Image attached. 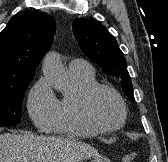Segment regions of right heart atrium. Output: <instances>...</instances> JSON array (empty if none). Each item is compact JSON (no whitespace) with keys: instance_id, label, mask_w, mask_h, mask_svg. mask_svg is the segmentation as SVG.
I'll list each match as a JSON object with an SVG mask.
<instances>
[{"instance_id":"right-heart-atrium-1","label":"right heart atrium","mask_w":168,"mask_h":162,"mask_svg":"<svg viewBox=\"0 0 168 162\" xmlns=\"http://www.w3.org/2000/svg\"><path fill=\"white\" fill-rule=\"evenodd\" d=\"M27 108L31 119L40 130H51L57 123L59 100L46 78H40L30 90Z\"/></svg>"}]
</instances>
